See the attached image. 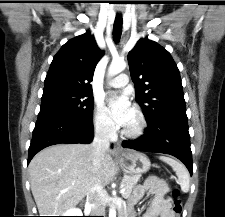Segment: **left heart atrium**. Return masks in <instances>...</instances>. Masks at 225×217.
Wrapping results in <instances>:
<instances>
[{"instance_id": "left-heart-atrium-1", "label": "left heart atrium", "mask_w": 225, "mask_h": 217, "mask_svg": "<svg viewBox=\"0 0 225 217\" xmlns=\"http://www.w3.org/2000/svg\"><path fill=\"white\" fill-rule=\"evenodd\" d=\"M108 111L117 125L126 126L132 114L128 96L126 94H121L109 99Z\"/></svg>"}]
</instances>
